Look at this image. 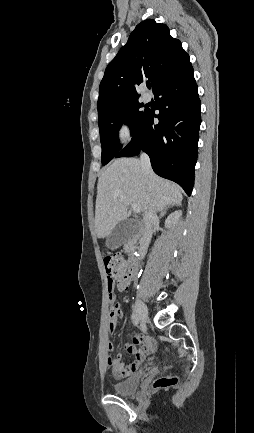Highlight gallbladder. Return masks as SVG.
<instances>
[{
    "instance_id": "gallbladder-1",
    "label": "gallbladder",
    "mask_w": 254,
    "mask_h": 433,
    "mask_svg": "<svg viewBox=\"0 0 254 433\" xmlns=\"http://www.w3.org/2000/svg\"><path fill=\"white\" fill-rule=\"evenodd\" d=\"M140 225L136 220L125 219L120 221L112 230L106 240V246L111 249H117L126 241L136 237L139 234Z\"/></svg>"
}]
</instances>
